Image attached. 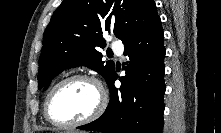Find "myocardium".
Instances as JSON below:
<instances>
[{
    "label": "myocardium",
    "instance_id": "myocardium-1",
    "mask_svg": "<svg viewBox=\"0 0 221 133\" xmlns=\"http://www.w3.org/2000/svg\"><path fill=\"white\" fill-rule=\"evenodd\" d=\"M75 80H84V81H88V82L92 83L98 91V96H99L98 103H97L96 107L94 108V110L88 116L84 117L83 119L73 121V122H67V123L57 122L52 119V117L50 116V113H49L50 98L53 95V93L56 91V89H58L60 86H62L65 83L75 81ZM106 106H107V96H106L105 90H104L102 84L100 83V81L92 75L85 74V73H78V74L69 75V76L61 79L60 81H58L56 84H54L50 88V90L48 91V93L45 97V100H44L43 110H44V116H45L46 120L49 123H51L52 125H54L56 127H60V128H72V127L82 126V125L88 124V123L96 120L97 118H99L103 114V112L106 109Z\"/></svg>",
    "mask_w": 221,
    "mask_h": 133
}]
</instances>
